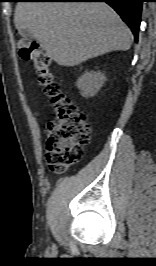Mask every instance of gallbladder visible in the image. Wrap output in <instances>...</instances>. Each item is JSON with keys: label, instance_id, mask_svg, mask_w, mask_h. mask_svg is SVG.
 Returning <instances> with one entry per match:
<instances>
[{"label": "gallbladder", "instance_id": "obj_1", "mask_svg": "<svg viewBox=\"0 0 156 266\" xmlns=\"http://www.w3.org/2000/svg\"><path fill=\"white\" fill-rule=\"evenodd\" d=\"M23 35L25 37H33V35L27 29L23 30Z\"/></svg>", "mask_w": 156, "mask_h": 266}]
</instances>
